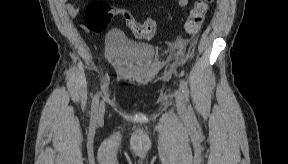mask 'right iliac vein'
<instances>
[{
    "instance_id": "obj_1",
    "label": "right iliac vein",
    "mask_w": 288,
    "mask_h": 164,
    "mask_svg": "<svg viewBox=\"0 0 288 164\" xmlns=\"http://www.w3.org/2000/svg\"><path fill=\"white\" fill-rule=\"evenodd\" d=\"M104 111H105L104 104H101V105H100V109H99V115H98V118H99V119H102V118H103V116H104Z\"/></svg>"
}]
</instances>
